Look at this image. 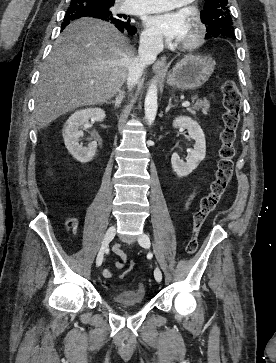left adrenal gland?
Here are the masks:
<instances>
[{
  "mask_svg": "<svg viewBox=\"0 0 276 363\" xmlns=\"http://www.w3.org/2000/svg\"><path fill=\"white\" fill-rule=\"evenodd\" d=\"M171 101H172V98H170L169 99V103H168V106H167V108H166V110H165V113H168V111L171 109V108H173V107H175L176 105H172L171 104Z\"/></svg>",
  "mask_w": 276,
  "mask_h": 363,
  "instance_id": "1",
  "label": "left adrenal gland"
}]
</instances>
